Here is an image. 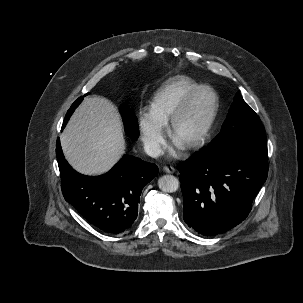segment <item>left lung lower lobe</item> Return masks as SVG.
Returning a JSON list of instances; mask_svg holds the SVG:
<instances>
[{"mask_svg": "<svg viewBox=\"0 0 303 303\" xmlns=\"http://www.w3.org/2000/svg\"><path fill=\"white\" fill-rule=\"evenodd\" d=\"M180 173L184 221L198 233L214 236L246 219L267 179L268 162L203 150L185 161Z\"/></svg>", "mask_w": 303, "mask_h": 303, "instance_id": "left-lung-lower-lobe-1", "label": "left lung lower lobe"}]
</instances>
